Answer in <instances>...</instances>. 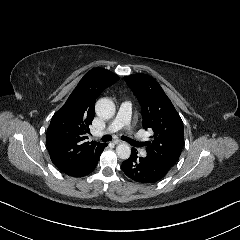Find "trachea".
<instances>
[{
	"instance_id": "obj_1",
	"label": "trachea",
	"mask_w": 240,
	"mask_h": 240,
	"mask_svg": "<svg viewBox=\"0 0 240 240\" xmlns=\"http://www.w3.org/2000/svg\"><path fill=\"white\" fill-rule=\"evenodd\" d=\"M122 140L128 142L129 144H131L132 146H135V147H141V146H144L145 143H141V142H137V141H134L132 139H130L129 137H125V136H122L121 137ZM101 140L103 142H108V141H111L112 140V136L111 135H104Z\"/></svg>"
}]
</instances>
